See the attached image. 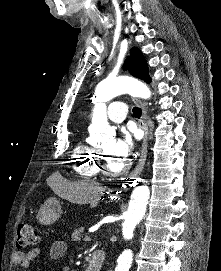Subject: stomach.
Masks as SVG:
<instances>
[{
  "instance_id": "0dacf381",
  "label": "stomach",
  "mask_w": 221,
  "mask_h": 271,
  "mask_svg": "<svg viewBox=\"0 0 221 271\" xmlns=\"http://www.w3.org/2000/svg\"><path fill=\"white\" fill-rule=\"evenodd\" d=\"M62 213L61 205L57 199H47L40 207L36 219L39 223L43 225H49V223H54Z\"/></svg>"
}]
</instances>
